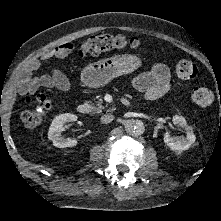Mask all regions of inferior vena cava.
I'll list each match as a JSON object with an SVG mask.
<instances>
[{"label":"inferior vena cava","instance_id":"obj_1","mask_svg":"<svg viewBox=\"0 0 221 221\" xmlns=\"http://www.w3.org/2000/svg\"><path fill=\"white\" fill-rule=\"evenodd\" d=\"M114 120V115L112 114H105L101 117V122L103 124L111 123Z\"/></svg>","mask_w":221,"mask_h":221}]
</instances>
